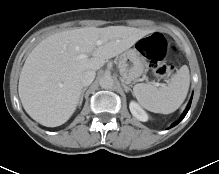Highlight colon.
<instances>
[{
  "instance_id": "5ec220e1",
  "label": "colon",
  "mask_w": 219,
  "mask_h": 174,
  "mask_svg": "<svg viewBox=\"0 0 219 174\" xmlns=\"http://www.w3.org/2000/svg\"><path fill=\"white\" fill-rule=\"evenodd\" d=\"M138 50L147 59L150 69L155 75L165 78L174 70L172 57L175 49L160 33H154L137 43Z\"/></svg>"
}]
</instances>
